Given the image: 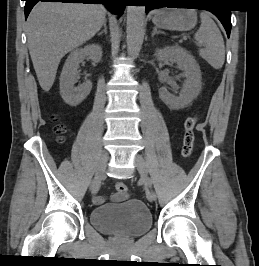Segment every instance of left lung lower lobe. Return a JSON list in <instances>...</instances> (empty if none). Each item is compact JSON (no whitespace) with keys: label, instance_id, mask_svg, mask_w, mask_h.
Listing matches in <instances>:
<instances>
[{"label":"left lung lower lobe","instance_id":"obj_1","mask_svg":"<svg viewBox=\"0 0 259 266\" xmlns=\"http://www.w3.org/2000/svg\"><path fill=\"white\" fill-rule=\"evenodd\" d=\"M140 3L146 6V12L154 8L160 7H179L180 5H196V4H205L207 1H199L197 3H193L190 0H141ZM206 10L214 13L218 19L223 24L227 36H230L231 31V11L229 9H220V8H204Z\"/></svg>","mask_w":259,"mask_h":266}]
</instances>
